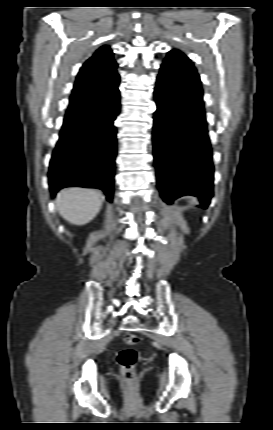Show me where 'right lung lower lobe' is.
<instances>
[{
  "instance_id": "1",
  "label": "right lung lower lobe",
  "mask_w": 273,
  "mask_h": 430,
  "mask_svg": "<svg viewBox=\"0 0 273 430\" xmlns=\"http://www.w3.org/2000/svg\"><path fill=\"white\" fill-rule=\"evenodd\" d=\"M119 80L118 75L92 87L88 101L66 112L48 172L52 195L64 187L79 186L99 188L112 201Z\"/></svg>"
}]
</instances>
